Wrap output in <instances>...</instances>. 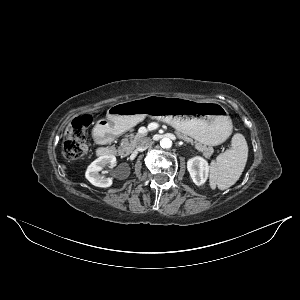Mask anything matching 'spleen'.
<instances>
[{
	"label": "spleen",
	"instance_id": "obj_1",
	"mask_svg": "<svg viewBox=\"0 0 300 300\" xmlns=\"http://www.w3.org/2000/svg\"><path fill=\"white\" fill-rule=\"evenodd\" d=\"M231 149L220 154L210 167L209 184L212 189L225 190L240 178L248 158V145L245 137L236 133L231 139Z\"/></svg>",
	"mask_w": 300,
	"mask_h": 300
}]
</instances>
